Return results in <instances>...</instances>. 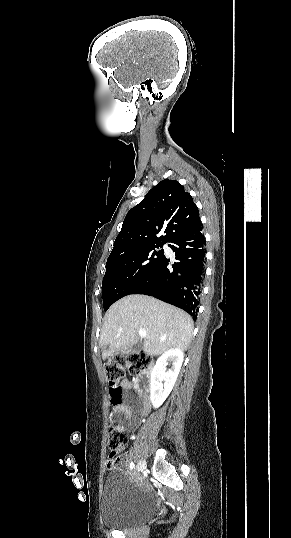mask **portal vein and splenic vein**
Returning <instances> with one entry per match:
<instances>
[{"mask_svg":"<svg viewBox=\"0 0 291 538\" xmlns=\"http://www.w3.org/2000/svg\"><path fill=\"white\" fill-rule=\"evenodd\" d=\"M138 334H139V336H140L141 338H144V337L146 336V331L143 330V329H140V330L138 331Z\"/></svg>","mask_w":291,"mask_h":538,"instance_id":"1","label":"portal vein and splenic vein"}]
</instances>
